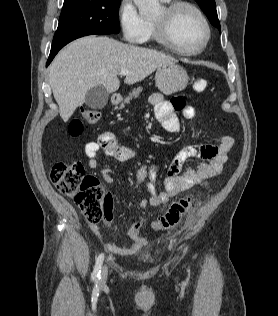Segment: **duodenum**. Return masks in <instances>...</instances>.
Instances as JSON below:
<instances>
[{
    "instance_id": "duodenum-1",
    "label": "duodenum",
    "mask_w": 278,
    "mask_h": 316,
    "mask_svg": "<svg viewBox=\"0 0 278 316\" xmlns=\"http://www.w3.org/2000/svg\"><path fill=\"white\" fill-rule=\"evenodd\" d=\"M120 100H121V97H120V95H118V94H115V95H113V96L111 97V103H112L113 105L118 104V103L120 102Z\"/></svg>"
}]
</instances>
